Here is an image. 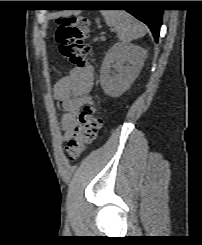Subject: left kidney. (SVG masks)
<instances>
[{"label": "left kidney", "mask_w": 202, "mask_h": 245, "mask_svg": "<svg viewBox=\"0 0 202 245\" xmlns=\"http://www.w3.org/2000/svg\"><path fill=\"white\" fill-rule=\"evenodd\" d=\"M145 55L146 51L140 46L114 44L106 54L100 70V84L104 93L118 97L128 90L144 64ZM111 67L117 74H111Z\"/></svg>", "instance_id": "obj_1"}]
</instances>
